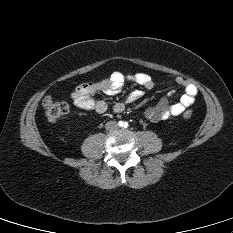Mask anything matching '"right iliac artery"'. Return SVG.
<instances>
[{
    "instance_id": "82829eb1",
    "label": "right iliac artery",
    "mask_w": 233,
    "mask_h": 233,
    "mask_svg": "<svg viewBox=\"0 0 233 233\" xmlns=\"http://www.w3.org/2000/svg\"><path fill=\"white\" fill-rule=\"evenodd\" d=\"M118 124H119V126H123L124 123L122 121H119Z\"/></svg>"
}]
</instances>
